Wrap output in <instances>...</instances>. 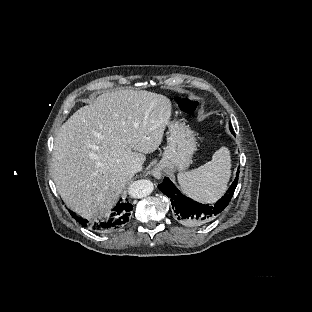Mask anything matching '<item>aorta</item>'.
Wrapping results in <instances>:
<instances>
[{"label": "aorta", "instance_id": "762f6f07", "mask_svg": "<svg viewBox=\"0 0 312 312\" xmlns=\"http://www.w3.org/2000/svg\"><path fill=\"white\" fill-rule=\"evenodd\" d=\"M154 190V185L150 180L141 179L134 181L128 188V193L132 198L140 199L150 195Z\"/></svg>", "mask_w": 312, "mask_h": 312}]
</instances>
